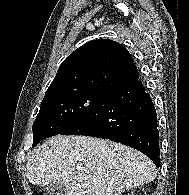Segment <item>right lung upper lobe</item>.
<instances>
[{"label": "right lung upper lobe", "instance_id": "right-lung-upper-lobe-1", "mask_svg": "<svg viewBox=\"0 0 189 195\" xmlns=\"http://www.w3.org/2000/svg\"><path fill=\"white\" fill-rule=\"evenodd\" d=\"M137 79L130 53L115 41L98 39L79 47L62 62L46 95L78 88L112 92Z\"/></svg>", "mask_w": 189, "mask_h": 195}]
</instances>
